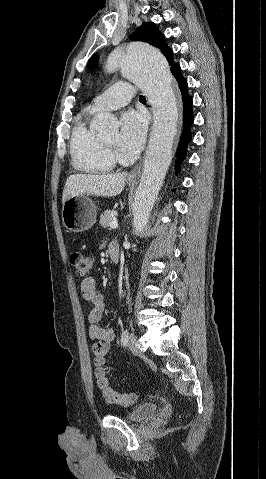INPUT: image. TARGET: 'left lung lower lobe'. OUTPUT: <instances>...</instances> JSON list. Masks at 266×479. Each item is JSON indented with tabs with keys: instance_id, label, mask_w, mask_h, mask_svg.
<instances>
[{
	"instance_id": "obj_1",
	"label": "left lung lower lobe",
	"mask_w": 266,
	"mask_h": 479,
	"mask_svg": "<svg viewBox=\"0 0 266 479\" xmlns=\"http://www.w3.org/2000/svg\"><path fill=\"white\" fill-rule=\"evenodd\" d=\"M172 74L176 78L178 85L180 87L181 93L183 95V113H184V127H183V132L180 138V142L178 145L177 149V164L175 167L177 168L176 171H179V166L182 162V160L186 156V149L187 145L190 140H191V131H190V126L191 123L193 122V115H192V99L190 96L187 94L188 89H187V82L181 75V70L180 66L177 64L174 68L171 69Z\"/></svg>"
}]
</instances>
